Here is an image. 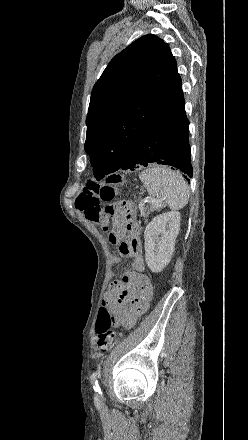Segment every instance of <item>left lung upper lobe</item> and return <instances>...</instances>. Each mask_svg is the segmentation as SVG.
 <instances>
[{
  "instance_id": "obj_1",
  "label": "left lung upper lobe",
  "mask_w": 248,
  "mask_h": 440,
  "mask_svg": "<svg viewBox=\"0 0 248 440\" xmlns=\"http://www.w3.org/2000/svg\"><path fill=\"white\" fill-rule=\"evenodd\" d=\"M183 99L168 44L140 37L117 54L95 83L86 118L85 151L97 180L114 172L135 141Z\"/></svg>"
}]
</instances>
